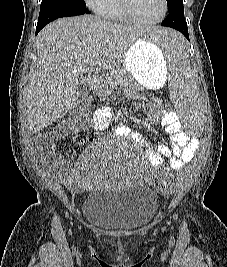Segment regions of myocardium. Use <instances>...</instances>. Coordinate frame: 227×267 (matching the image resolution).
Wrapping results in <instances>:
<instances>
[{"label":"myocardium","instance_id":"obj_1","mask_svg":"<svg viewBox=\"0 0 227 267\" xmlns=\"http://www.w3.org/2000/svg\"><path fill=\"white\" fill-rule=\"evenodd\" d=\"M122 13L132 22L142 25H154L160 23L167 15L168 0H162L163 10L161 15L154 20H143L139 18L132 9L131 0H118Z\"/></svg>","mask_w":227,"mask_h":267}]
</instances>
